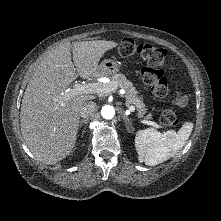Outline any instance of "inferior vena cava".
Returning <instances> with one entry per match:
<instances>
[{
  "label": "inferior vena cava",
  "mask_w": 221,
  "mask_h": 221,
  "mask_svg": "<svg viewBox=\"0 0 221 221\" xmlns=\"http://www.w3.org/2000/svg\"><path fill=\"white\" fill-rule=\"evenodd\" d=\"M96 107H97L96 103H94L92 101L84 103L79 111L80 116L83 118H87V117L92 116L96 110Z\"/></svg>",
  "instance_id": "602c4592"
}]
</instances>
